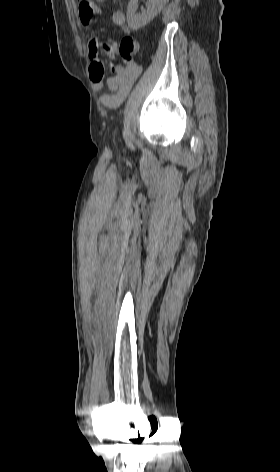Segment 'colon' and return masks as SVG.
Segmentation results:
<instances>
[{"label":"colon","mask_w":280,"mask_h":472,"mask_svg":"<svg viewBox=\"0 0 280 472\" xmlns=\"http://www.w3.org/2000/svg\"><path fill=\"white\" fill-rule=\"evenodd\" d=\"M137 51L136 41L131 36H125L119 45V54L123 58L125 64H133L134 56Z\"/></svg>","instance_id":"1"}]
</instances>
